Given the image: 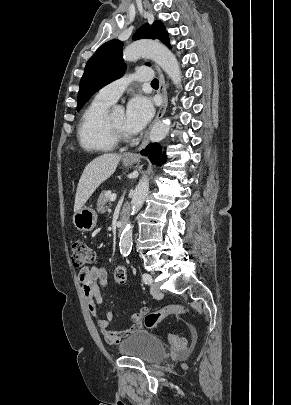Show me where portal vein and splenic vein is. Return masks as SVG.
I'll return each mask as SVG.
<instances>
[{
  "instance_id": "1",
  "label": "portal vein and splenic vein",
  "mask_w": 291,
  "mask_h": 405,
  "mask_svg": "<svg viewBox=\"0 0 291 405\" xmlns=\"http://www.w3.org/2000/svg\"><path fill=\"white\" fill-rule=\"evenodd\" d=\"M115 200H116V194H111L110 201H115Z\"/></svg>"
}]
</instances>
